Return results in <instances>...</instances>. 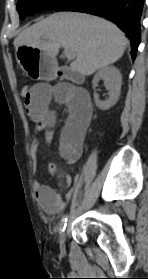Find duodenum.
<instances>
[{"label":"duodenum","instance_id":"1","mask_svg":"<svg viewBox=\"0 0 148 279\" xmlns=\"http://www.w3.org/2000/svg\"><path fill=\"white\" fill-rule=\"evenodd\" d=\"M58 75L61 78L65 79V80H69L71 82H78L82 79V76L79 73L74 72L68 66H60L58 68Z\"/></svg>","mask_w":148,"mask_h":279}]
</instances>
